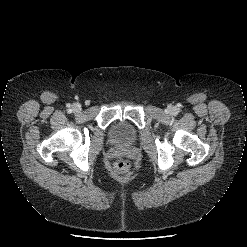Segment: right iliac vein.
Masks as SVG:
<instances>
[{"mask_svg": "<svg viewBox=\"0 0 247 247\" xmlns=\"http://www.w3.org/2000/svg\"><path fill=\"white\" fill-rule=\"evenodd\" d=\"M73 108H74V111H76V112L80 111V107L77 105H75Z\"/></svg>", "mask_w": 247, "mask_h": 247, "instance_id": "obj_1", "label": "right iliac vein"}]
</instances>
